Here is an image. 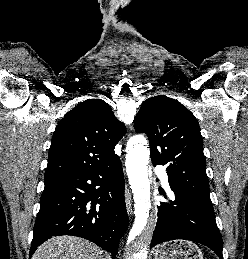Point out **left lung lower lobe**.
Listing matches in <instances>:
<instances>
[{
	"label": "left lung lower lobe",
	"instance_id": "1",
	"mask_svg": "<svg viewBox=\"0 0 248 259\" xmlns=\"http://www.w3.org/2000/svg\"><path fill=\"white\" fill-rule=\"evenodd\" d=\"M175 201L160 203L151 248L168 240L184 239L211 248L220 259L222 238L210 196L194 195L170 184Z\"/></svg>",
	"mask_w": 248,
	"mask_h": 259
}]
</instances>
